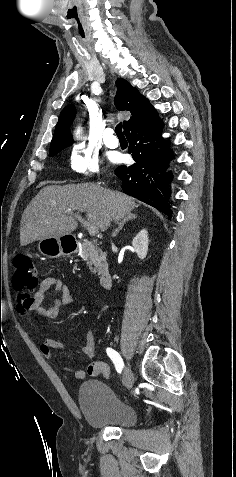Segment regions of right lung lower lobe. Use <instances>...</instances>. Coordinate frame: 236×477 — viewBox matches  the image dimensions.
Masks as SVG:
<instances>
[{
  "mask_svg": "<svg viewBox=\"0 0 236 477\" xmlns=\"http://www.w3.org/2000/svg\"><path fill=\"white\" fill-rule=\"evenodd\" d=\"M163 126L162 120L158 118L152 124L127 132L128 152L135 163L118 166L115 174L122 180L121 187L126 194L157 208L170 218L169 183L173 176L166 169L174 154L162 137Z\"/></svg>",
  "mask_w": 236,
  "mask_h": 477,
  "instance_id": "98d812e1",
  "label": "right lung lower lobe"
}]
</instances>
